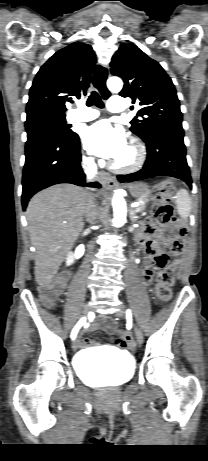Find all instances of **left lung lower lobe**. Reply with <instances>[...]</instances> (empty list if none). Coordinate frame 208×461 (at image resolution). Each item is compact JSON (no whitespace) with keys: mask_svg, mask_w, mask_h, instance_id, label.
Here are the masks:
<instances>
[{"mask_svg":"<svg viewBox=\"0 0 208 461\" xmlns=\"http://www.w3.org/2000/svg\"><path fill=\"white\" fill-rule=\"evenodd\" d=\"M183 137V130L178 128L154 131L145 141L147 159L143 168L128 175H118V180L124 183L155 176H171L183 180L192 188Z\"/></svg>","mask_w":208,"mask_h":461,"instance_id":"1","label":"left lung lower lobe"}]
</instances>
